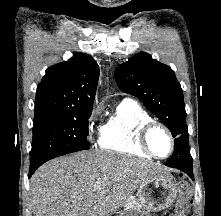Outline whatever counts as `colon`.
I'll return each mask as SVG.
<instances>
[{
    "instance_id": "1",
    "label": "colon",
    "mask_w": 221,
    "mask_h": 216,
    "mask_svg": "<svg viewBox=\"0 0 221 216\" xmlns=\"http://www.w3.org/2000/svg\"><path fill=\"white\" fill-rule=\"evenodd\" d=\"M191 203L189 189L187 185H184L180 189L179 198L177 204L174 207V210H184ZM176 214H172L171 216H175Z\"/></svg>"
}]
</instances>
